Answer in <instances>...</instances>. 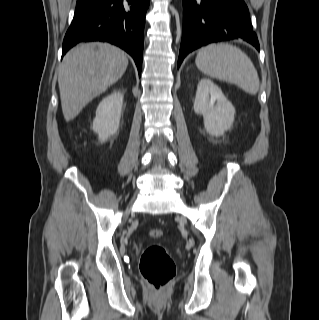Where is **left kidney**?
Here are the masks:
<instances>
[{
    "instance_id": "obj_1",
    "label": "left kidney",
    "mask_w": 319,
    "mask_h": 320,
    "mask_svg": "<svg viewBox=\"0 0 319 320\" xmlns=\"http://www.w3.org/2000/svg\"><path fill=\"white\" fill-rule=\"evenodd\" d=\"M194 112L204 117V128L211 136L219 137L231 129L235 109L210 79L199 81L194 101Z\"/></svg>"
}]
</instances>
